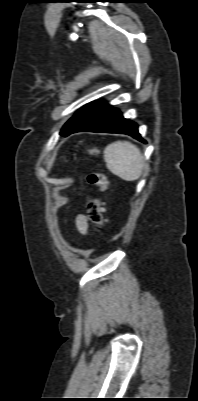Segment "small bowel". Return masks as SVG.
Segmentation results:
<instances>
[{
    "label": "small bowel",
    "instance_id": "1",
    "mask_svg": "<svg viewBox=\"0 0 198 401\" xmlns=\"http://www.w3.org/2000/svg\"><path fill=\"white\" fill-rule=\"evenodd\" d=\"M76 227L81 234L88 232V221L85 215L80 214L76 217Z\"/></svg>",
    "mask_w": 198,
    "mask_h": 401
}]
</instances>
